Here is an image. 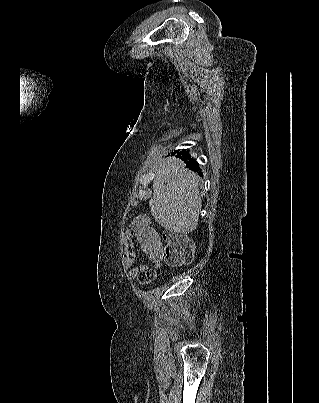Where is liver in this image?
<instances>
[{
	"label": "liver",
	"instance_id": "6515ba94",
	"mask_svg": "<svg viewBox=\"0 0 319 403\" xmlns=\"http://www.w3.org/2000/svg\"><path fill=\"white\" fill-rule=\"evenodd\" d=\"M153 191L149 206L162 227L183 234L197 228L202 208L198 177L181 160L168 158L159 166Z\"/></svg>",
	"mask_w": 319,
	"mask_h": 403
}]
</instances>
